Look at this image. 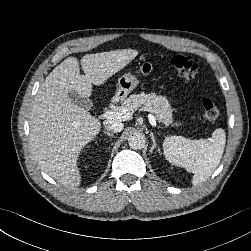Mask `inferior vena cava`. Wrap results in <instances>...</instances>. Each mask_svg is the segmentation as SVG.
<instances>
[{
	"instance_id": "1",
	"label": "inferior vena cava",
	"mask_w": 251,
	"mask_h": 251,
	"mask_svg": "<svg viewBox=\"0 0 251 251\" xmlns=\"http://www.w3.org/2000/svg\"><path fill=\"white\" fill-rule=\"evenodd\" d=\"M103 125L107 131L116 133L122 131L124 127L123 123L114 120H106L103 122Z\"/></svg>"
}]
</instances>
